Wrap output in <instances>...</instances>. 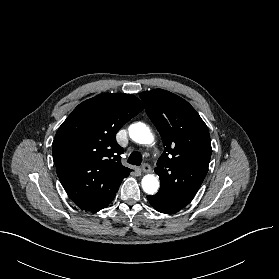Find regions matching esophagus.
Returning <instances> with one entry per match:
<instances>
[{
    "mask_svg": "<svg viewBox=\"0 0 279 279\" xmlns=\"http://www.w3.org/2000/svg\"><path fill=\"white\" fill-rule=\"evenodd\" d=\"M142 172L149 173L151 171V167L148 163H144L141 167Z\"/></svg>",
    "mask_w": 279,
    "mask_h": 279,
    "instance_id": "34e87169",
    "label": "esophagus"
}]
</instances>
